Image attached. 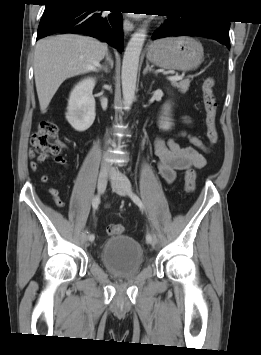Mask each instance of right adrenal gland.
<instances>
[{"mask_svg":"<svg viewBox=\"0 0 261 355\" xmlns=\"http://www.w3.org/2000/svg\"><path fill=\"white\" fill-rule=\"evenodd\" d=\"M106 60L108 61L109 67L105 66L102 69L105 73H109L110 70L113 68V64H114L109 52L106 53Z\"/></svg>","mask_w":261,"mask_h":355,"instance_id":"right-adrenal-gland-1","label":"right adrenal gland"}]
</instances>
